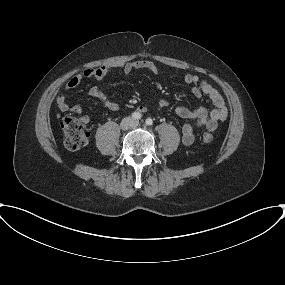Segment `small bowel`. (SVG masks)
I'll return each mask as SVG.
<instances>
[{
  "label": "small bowel",
  "mask_w": 285,
  "mask_h": 285,
  "mask_svg": "<svg viewBox=\"0 0 285 285\" xmlns=\"http://www.w3.org/2000/svg\"><path fill=\"white\" fill-rule=\"evenodd\" d=\"M113 69H117L123 74H131L135 70H147L153 74L158 73V67L153 61L140 59L133 62L122 64L116 68H90L84 70L82 73L72 77L65 85L66 90L76 88L84 78H94L96 80H103L108 72ZM186 83L192 85L191 92L194 96L200 97L202 94L207 95L212 101L214 108L208 110L205 107H198L190 109L185 106H179L176 108V114L182 118L191 120L190 122L183 125L181 130V141L185 146H190L194 140V131L197 127H206L209 130H215L218 123L226 120L228 115V108L222 95L215 89L208 81L201 79L197 75L187 74L184 77ZM89 94L97 99L99 103L105 108L111 111H117L119 105L117 102L109 99L105 93L97 86H92L89 89ZM57 106L62 112L72 111L74 113H82L83 107L81 104H74L70 106L64 94H59L56 99ZM167 106L166 100L159 102L158 108L164 109ZM147 108L145 106H139V112H145Z\"/></svg>",
  "instance_id": "obj_1"
}]
</instances>
